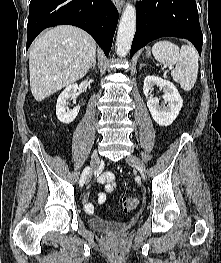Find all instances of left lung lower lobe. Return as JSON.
Wrapping results in <instances>:
<instances>
[{"label": "left lung lower lobe", "instance_id": "0a47b994", "mask_svg": "<svg viewBox=\"0 0 221 263\" xmlns=\"http://www.w3.org/2000/svg\"><path fill=\"white\" fill-rule=\"evenodd\" d=\"M137 29L130 58L160 37L186 38L201 55L203 36L195 0H143L136 4Z\"/></svg>", "mask_w": 221, "mask_h": 263}]
</instances>
